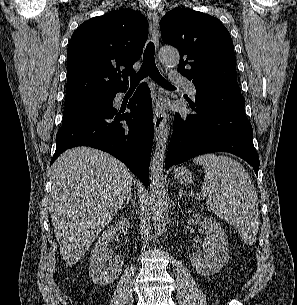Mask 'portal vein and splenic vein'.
Listing matches in <instances>:
<instances>
[{"label": "portal vein and splenic vein", "mask_w": 297, "mask_h": 305, "mask_svg": "<svg viewBox=\"0 0 297 305\" xmlns=\"http://www.w3.org/2000/svg\"><path fill=\"white\" fill-rule=\"evenodd\" d=\"M204 196H205L204 194H201V195H200V197H204Z\"/></svg>", "instance_id": "portal-vein-and-splenic-vein-1"}]
</instances>
